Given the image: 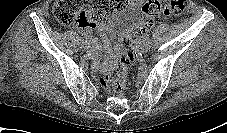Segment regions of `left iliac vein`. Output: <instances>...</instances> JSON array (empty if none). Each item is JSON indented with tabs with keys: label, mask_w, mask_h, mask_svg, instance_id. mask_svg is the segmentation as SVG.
Wrapping results in <instances>:
<instances>
[{
	"label": "left iliac vein",
	"mask_w": 227,
	"mask_h": 133,
	"mask_svg": "<svg viewBox=\"0 0 227 133\" xmlns=\"http://www.w3.org/2000/svg\"><path fill=\"white\" fill-rule=\"evenodd\" d=\"M150 46H151V41H150V39H146V40L144 41V43L141 45V48H140L141 52H142V53H147L148 50H149V48H150Z\"/></svg>",
	"instance_id": "1"
}]
</instances>
